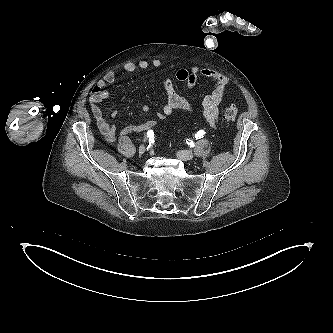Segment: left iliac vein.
<instances>
[{
  "label": "left iliac vein",
  "instance_id": "obj_1",
  "mask_svg": "<svg viewBox=\"0 0 333 333\" xmlns=\"http://www.w3.org/2000/svg\"><path fill=\"white\" fill-rule=\"evenodd\" d=\"M194 154L192 151L188 150H181L177 152V157L183 161L191 160L193 158Z\"/></svg>",
  "mask_w": 333,
  "mask_h": 333
}]
</instances>
